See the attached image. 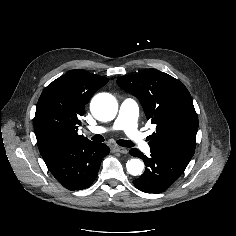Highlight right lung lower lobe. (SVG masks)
<instances>
[{
    "label": "right lung lower lobe",
    "instance_id": "1",
    "mask_svg": "<svg viewBox=\"0 0 236 236\" xmlns=\"http://www.w3.org/2000/svg\"><path fill=\"white\" fill-rule=\"evenodd\" d=\"M110 149L103 143L73 142L43 157L49 171L69 190L89 187Z\"/></svg>",
    "mask_w": 236,
    "mask_h": 236
}]
</instances>
